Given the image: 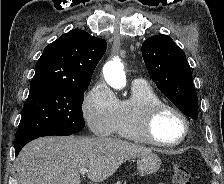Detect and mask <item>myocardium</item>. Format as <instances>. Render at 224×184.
<instances>
[{"label":"myocardium","instance_id":"myocardium-1","mask_svg":"<svg viewBox=\"0 0 224 184\" xmlns=\"http://www.w3.org/2000/svg\"><path fill=\"white\" fill-rule=\"evenodd\" d=\"M169 111L175 114L182 122L184 127L183 135L180 139L172 142H163L154 134V124L156 119L164 112ZM189 121L187 117L175 106L159 101L149 104L142 112L138 120V131L144 142L163 148H171L180 145L185 141L189 134Z\"/></svg>","mask_w":224,"mask_h":184}]
</instances>
